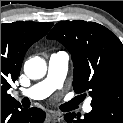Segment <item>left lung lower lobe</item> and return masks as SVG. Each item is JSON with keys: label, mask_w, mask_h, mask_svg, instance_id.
<instances>
[{"label": "left lung lower lobe", "mask_w": 123, "mask_h": 123, "mask_svg": "<svg viewBox=\"0 0 123 123\" xmlns=\"http://www.w3.org/2000/svg\"><path fill=\"white\" fill-rule=\"evenodd\" d=\"M64 118L69 123H123V107L109 102L92 107V111L84 117L67 113Z\"/></svg>", "instance_id": "obj_1"}]
</instances>
